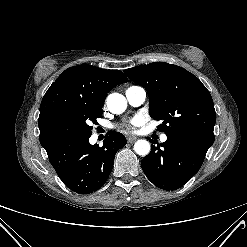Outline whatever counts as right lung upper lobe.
I'll list each match as a JSON object with an SVG mask.
<instances>
[{
	"mask_svg": "<svg viewBox=\"0 0 247 247\" xmlns=\"http://www.w3.org/2000/svg\"><path fill=\"white\" fill-rule=\"evenodd\" d=\"M128 80L120 70H105L84 64L66 69L49 87L40 105V143L49 150L48 124L53 117L84 108L101 109L107 93Z\"/></svg>",
	"mask_w": 247,
	"mask_h": 247,
	"instance_id": "cb5924a9",
	"label": "right lung upper lobe"
}]
</instances>
